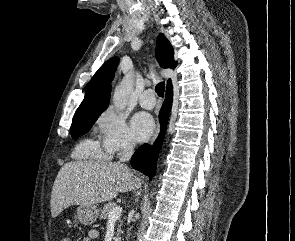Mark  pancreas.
<instances>
[{"label":"pancreas","mask_w":295,"mask_h":241,"mask_svg":"<svg viewBox=\"0 0 295 241\" xmlns=\"http://www.w3.org/2000/svg\"><path fill=\"white\" fill-rule=\"evenodd\" d=\"M116 206V203L114 202H109L104 205L103 210L100 212V219H106L108 217L109 212ZM121 233V225L117 229V237L119 238V235Z\"/></svg>","instance_id":"1"}]
</instances>
